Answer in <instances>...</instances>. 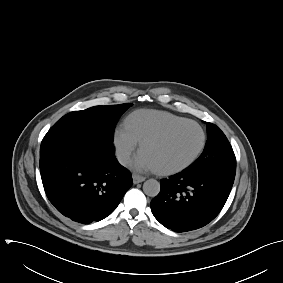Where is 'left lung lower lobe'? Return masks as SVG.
<instances>
[{
  "instance_id": "0a47b994",
  "label": "left lung lower lobe",
  "mask_w": 283,
  "mask_h": 283,
  "mask_svg": "<svg viewBox=\"0 0 283 283\" xmlns=\"http://www.w3.org/2000/svg\"><path fill=\"white\" fill-rule=\"evenodd\" d=\"M235 176L223 173H188L185 170L161 181L152 199L155 218L175 232L199 229L223 208Z\"/></svg>"
}]
</instances>
